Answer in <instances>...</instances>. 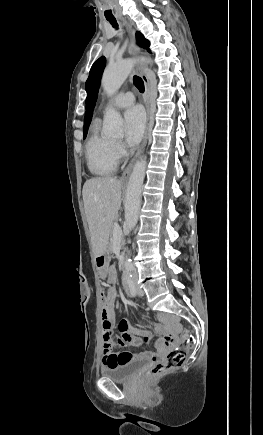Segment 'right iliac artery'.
<instances>
[{"label":"right iliac artery","instance_id":"1","mask_svg":"<svg viewBox=\"0 0 263 435\" xmlns=\"http://www.w3.org/2000/svg\"><path fill=\"white\" fill-rule=\"evenodd\" d=\"M126 280H127L128 284H129V287H130V294L132 296H135L136 295V289H135L134 282H133V279H132V274L130 273L129 270H127V273H126Z\"/></svg>","mask_w":263,"mask_h":435}]
</instances>
